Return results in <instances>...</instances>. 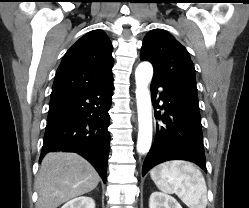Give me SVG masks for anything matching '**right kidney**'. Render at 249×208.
I'll return each instance as SVG.
<instances>
[{"instance_id":"ca27d5eb","label":"right kidney","mask_w":249,"mask_h":208,"mask_svg":"<svg viewBox=\"0 0 249 208\" xmlns=\"http://www.w3.org/2000/svg\"><path fill=\"white\" fill-rule=\"evenodd\" d=\"M61 208H95V202L91 197L81 196L68 201Z\"/></svg>"}]
</instances>
